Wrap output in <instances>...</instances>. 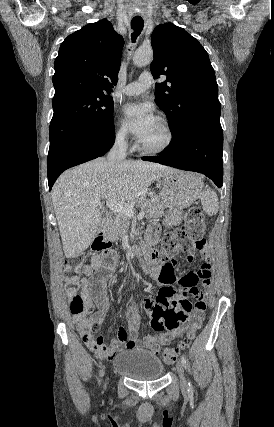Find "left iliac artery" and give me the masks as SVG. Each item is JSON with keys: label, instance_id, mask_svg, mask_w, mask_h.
Segmentation results:
<instances>
[{"label": "left iliac artery", "instance_id": "obj_1", "mask_svg": "<svg viewBox=\"0 0 274 427\" xmlns=\"http://www.w3.org/2000/svg\"><path fill=\"white\" fill-rule=\"evenodd\" d=\"M181 362H182V364L186 368V366H187V360H186V358L183 355L181 356ZM188 392L191 393V394H193V392H194V388H193L192 383L190 381L188 382Z\"/></svg>", "mask_w": 274, "mask_h": 427}]
</instances>
